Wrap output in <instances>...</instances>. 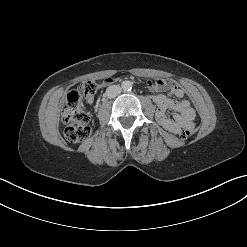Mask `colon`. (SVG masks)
I'll return each instance as SVG.
<instances>
[{
    "label": "colon",
    "instance_id": "colon-1",
    "mask_svg": "<svg viewBox=\"0 0 247 247\" xmlns=\"http://www.w3.org/2000/svg\"><path fill=\"white\" fill-rule=\"evenodd\" d=\"M98 85L92 80L84 81L77 90H72L62 104V121L65 124L64 136L69 142H81L91 134L89 117L81 106L83 97H90L96 93ZM191 131L183 128L181 138L185 139Z\"/></svg>",
    "mask_w": 247,
    "mask_h": 247
}]
</instances>
